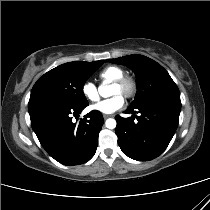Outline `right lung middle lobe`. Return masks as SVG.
<instances>
[{"instance_id": "1", "label": "right lung middle lobe", "mask_w": 210, "mask_h": 210, "mask_svg": "<svg viewBox=\"0 0 210 210\" xmlns=\"http://www.w3.org/2000/svg\"><path fill=\"white\" fill-rule=\"evenodd\" d=\"M103 63L104 60L69 62L48 71L33 86L28 110L49 103L74 106L88 104L83 93V85L85 80Z\"/></svg>"}]
</instances>
